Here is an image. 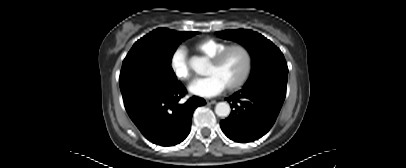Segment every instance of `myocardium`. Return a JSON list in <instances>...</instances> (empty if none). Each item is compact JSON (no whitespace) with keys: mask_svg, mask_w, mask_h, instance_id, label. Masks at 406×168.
<instances>
[{"mask_svg":"<svg viewBox=\"0 0 406 168\" xmlns=\"http://www.w3.org/2000/svg\"><path fill=\"white\" fill-rule=\"evenodd\" d=\"M233 49H240L244 53L245 68H244V71H243L241 77L238 79V81L235 82L234 84L226 87V89L228 91H235V90L240 89L248 80V78L251 74L252 66H253L252 51L245 44L236 43V44L228 45L227 47L222 49L220 52H218L215 56H213L212 58L209 59V63L211 65L218 66L223 61L225 56Z\"/></svg>","mask_w":406,"mask_h":168,"instance_id":"1","label":"myocardium"}]
</instances>
